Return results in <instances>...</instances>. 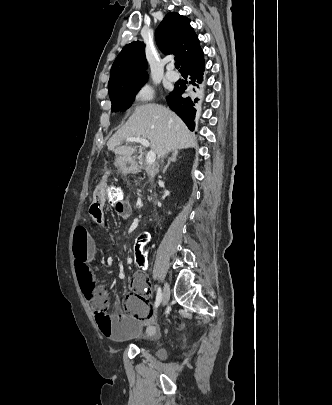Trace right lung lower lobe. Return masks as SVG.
I'll use <instances>...</instances> for the list:
<instances>
[{"mask_svg": "<svg viewBox=\"0 0 332 405\" xmlns=\"http://www.w3.org/2000/svg\"><path fill=\"white\" fill-rule=\"evenodd\" d=\"M204 59L188 66L183 70L182 75L188 79L189 85H192L193 91L200 90L203 81V72L205 70ZM186 88L175 87L174 90L166 97L169 107L186 123L190 130H194L196 109H198L200 103L198 98L191 99L190 97H181Z\"/></svg>", "mask_w": 332, "mask_h": 405, "instance_id": "1", "label": "right lung lower lobe"}]
</instances>
